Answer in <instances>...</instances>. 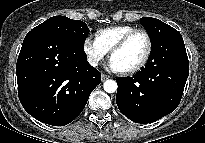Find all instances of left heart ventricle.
Instances as JSON below:
<instances>
[{
	"label": "left heart ventricle",
	"instance_id": "b2bd125f",
	"mask_svg": "<svg viewBox=\"0 0 205 143\" xmlns=\"http://www.w3.org/2000/svg\"><path fill=\"white\" fill-rule=\"evenodd\" d=\"M147 41L143 34H135L126 46L115 53L112 59L123 69L127 70L137 65L146 52Z\"/></svg>",
	"mask_w": 205,
	"mask_h": 143
}]
</instances>
